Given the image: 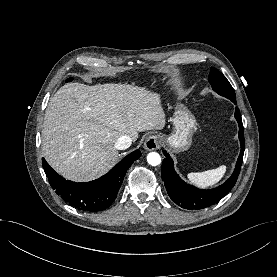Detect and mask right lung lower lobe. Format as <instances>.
Masks as SVG:
<instances>
[{"mask_svg":"<svg viewBox=\"0 0 277 277\" xmlns=\"http://www.w3.org/2000/svg\"><path fill=\"white\" fill-rule=\"evenodd\" d=\"M141 156L139 150L127 155L101 178L76 183L59 176L43 158V168L51 187L71 206L87 212L107 209L115 200L130 165Z\"/></svg>","mask_w":277,"mask_h":277,"instance_id":"right-lung-lower-lobe-1","label":"right lung lower lobe"}]
</instances>
